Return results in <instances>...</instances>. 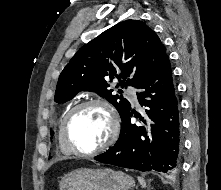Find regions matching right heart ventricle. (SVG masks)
I'll list each match as a JSON object with an SVG mask.
<instances>
[{
	"label": "right heart ventricle",
	"instance_id": "right-heart-ventricle-1",
	"mask_svg": "<svg viewBox=\"0 0 221 190\" xmlns=\"http://www.w3.org/2000/svg\"><path fill=\"white\" fill-rule=\"evenodd\" d=\"M64 115H63V117H64ZM63 117H62V119H63ZM61 122H62V120L60 121L59 129H58V147H59V150L61 151L62 154H64V155H71L73 153L67 148L65 143L62 141V137H61V133H60Z\"/></svg>",
	"mask_w": 221,
	"mask_h": 190
}]
</instances>
